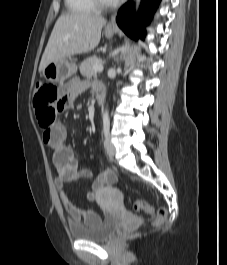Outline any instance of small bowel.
Returning a JSON list of instances; mask_svg holds the SVG:
<instances>
[{"label":"small bowel","instance_id":"obj_1","mask_svg":"<svg viewBox=\"0 0 227 265\" xmlns=\"http://www.w3.org/2000/svg\"><path fill=\"white\" fill-rule=\"evenodd\" d=\"M61 85H64L61 92L65 99H58V112H69L74 107L76 98L90 87L88 82L78 78L72 81L61 82ZM93 87L95 91L98 88H103L100 84H96ZM42 137L44 143L52 150L53 163L58 172L55 185L71 221L86 225L97 223L101 220L100 215L90 210L78 208L69 199L65 191V186L67 183L79 179H92L90 189L86 194V199L89 202L97 201L101 188L116 180L115 173L110 169H105L98 174H94L90 169L80 168L72 149L67 143V131L61 122H53L49 128L44 129Z\"/></svg>","mask_w":227,"mask_h":265}]
</instances>
